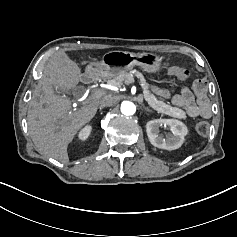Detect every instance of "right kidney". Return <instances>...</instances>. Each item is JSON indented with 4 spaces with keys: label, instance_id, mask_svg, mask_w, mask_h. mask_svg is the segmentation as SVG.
Instances as JSON below:
<instances>
[{
    "label": "right kidney",
    "instance_id": "right-kidney-1",
    "mask_svg": "<svg viewBox=\"0 0 237 237\" xmlns=\"http://www.w3.org/2000/svg\"><path fill=\"white\" fill-rule=\"evenodd\" d=\"M90 130H91L90 127L84 128L82 130V132L80 133V138L81 139H86L89 136V134H90Z\"/></svg>",
    "mask_w": 237,
    "mask_h": 237
}]
</instances>
